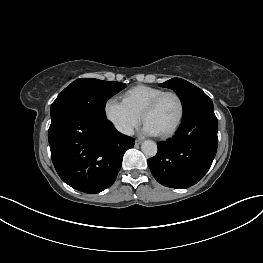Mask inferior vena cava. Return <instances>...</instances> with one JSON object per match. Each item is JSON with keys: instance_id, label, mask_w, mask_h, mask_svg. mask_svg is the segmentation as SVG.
Listing matches in <instances>:
<instances>
[{"instance_id": "602c4592", "label": "inferior vena cava", "mask_w": 263, "mask_h": 263, "mask_svg": "<svg viewBox=\"0 0 263 263\" xmlns=\"http://www.w3.org/2000/svg\"><path fill=\"white\" fill-rule=\"evenodd\" d=\"M124 133H125L126 135H133V134H134L133 128H131V127L127 128V129L124 131Z\"/></svg>"}]
</instances>
